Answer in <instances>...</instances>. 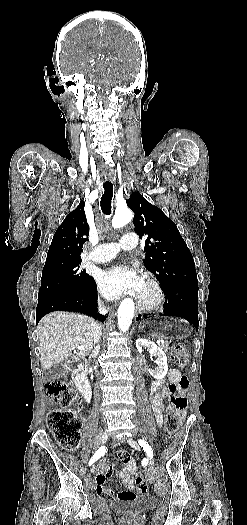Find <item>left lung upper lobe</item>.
I'll return each mask as SVG.
<instances>
[{"instance_id":"5c2ea615","label":"left lung upper lobe","mask_w":247,"mask_h":525,"mask_svg":"<svg viewBox=\"0 0 247 525\" xmlns=\"http://www.w3.org/2000/svg\"><path fill=\"white\" fill-rule=\"evenodd\" d=\"M127 205L134 212L135 232L147 236L143 260L165 290L198 289L193 256L176 224L140 193H132Z\"/></svg>"}]
</instances>
